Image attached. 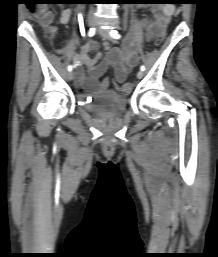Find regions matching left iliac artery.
Returning <instances> with one entry per match:
<instances>
[{"label":"left iliac artery","instance_id":"44dca946","mask_svg":"<svg viewBox=\"0 0 218 257\" xmlns=\"http://www.w3.org/2000/svg\"><path fill=\"white\" fill-rule=\"evenodd\" d=\"M109 33H110L111 37H113L115 39H120L121 38V35L116 30H111ZM140 69H141V71H144L145 66L141 65Z\"/></svg>","mask_w":218,"mask_h":257}]
</instances>
